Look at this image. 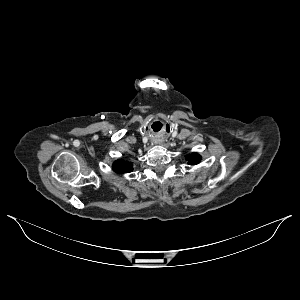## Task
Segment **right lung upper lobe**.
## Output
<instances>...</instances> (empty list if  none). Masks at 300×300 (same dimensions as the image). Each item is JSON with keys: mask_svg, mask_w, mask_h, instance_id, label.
Here are the masks:
<instances>
[{"mask_svg": "<svg viewBox=\"0 0 300 300\" xmlns=\"http://www.w3.org/2000/svg\"><path fill=\"white\" fill-rule=\"evenodd\" d=\"M113 170L117 173H127L132 171V165L123 161L118 160L113 164Z\"/></svg>", "mask_w": 300, "mask_h": 300, "instance_id": "right-lung-upper-lobe-1", "label": "right lung upper lobe"}]
</instances>
